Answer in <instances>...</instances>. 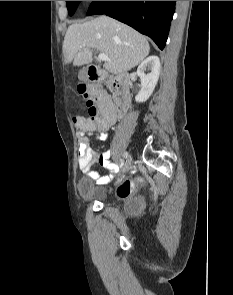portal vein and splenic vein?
<instances>
[{
	"instance_id": "obj_1",
	"label": "portal vein and splenic vein",
	"mask_w": 233,
	"mask_h": 295,
	"mask_svg": "<svg viewBox=\"0 0 233 295\" xmlns=\"http://www.w3.org/2000/svg\"><path fill=\"white\" fill-rule=\"evenodd\" d=\"M98 58H99V60H101V61H110V59L108 58V56L106 55V54H103V53H100L99 55H98Z\"/></svg>"
}]
</instances>
